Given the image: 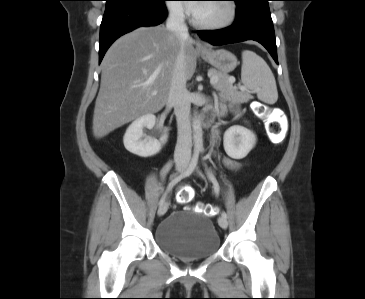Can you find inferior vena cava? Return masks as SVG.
Segmentation results:
<instances>
[{
  "label": "inferior vena cava",
  "instance_id": "inferior-vena-cava-1",
  "mask_svg": "<svg viewBox=\"0 0 365 299\" xmlns=\"http://www.w3.org/2000/svg\"><path fill=\"white\" fill-rule=\"evenodd\" d=\"M166 28L174 32L179 37L181 43L189 37L188 28L185 24V16L181 8L175 7L170 10ZM168 103L174 106L178 129L174 158L176 160L181 158L189 159L192 148V131L189 117L191 99L186 89L185 55L183 48L176 59L168 95Z\"/></svg>",
  "mask_w": 365,
  "mask_h": 299
}]
</instances>
